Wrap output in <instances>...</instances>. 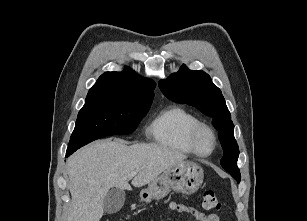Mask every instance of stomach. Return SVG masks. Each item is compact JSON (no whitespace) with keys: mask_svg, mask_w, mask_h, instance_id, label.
I'll use <instances>...</instances> for the list:
<instances>
[{"mask_svg":"<svg viewBox=\"0 0 307 221\" xmlns=\"http://www.w3.org/2000/svg\"><path fill=\"white\" fill-rule=\"evenodd\" d=\"M202 167L192 161H182L167 168L161 175L152 180L147 188L142 189L140 198L150 202L164 198L170 190L183 194L196 192L203 183Z\"/></svg>","mask_w":307,"mask_h":221,"instance_id":"0dacf381","label":"stomach"}]
</instances>
